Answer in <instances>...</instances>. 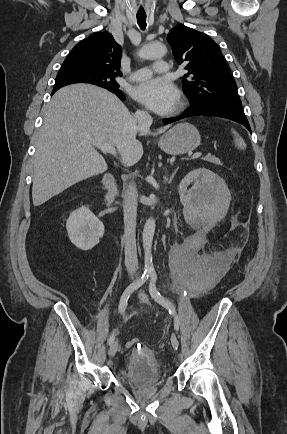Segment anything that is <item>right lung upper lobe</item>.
Returning <instances> with one entry per match:
<instances>
[{
	"mask_svg": "<svg viewBox=\"0 0 287 434\" xmlns=\"http://www.w3.org/2000/svg\"><path fill=\"white\" fill-rule=\"evenodd\" d=\"M121 51V46L115 42L110 33L97 32L82 40L72 49L61 69L78 68L103 74L121 75L119 70ZM62 86L64 84L55 85L52 93Z\"/></svg>",
	"mask_w": 287,
	"mask_h": 434,
	"instance_id": "cb5924a9",
	"label": "right lung upper lobe"
}]
</instances>
